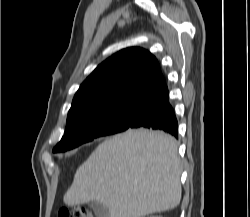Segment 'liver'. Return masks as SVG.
<instances>
[{
    "label": "liver",
    "mask_w": 250,
    "mask_h": 217,
    "mask_svg": "<svg viewBox=\"0 0 250 217\" xmlns=\"http://www.w3.org/2000/svg\"><path fill=\"white\" fill-rule=\"evenodd\" d=\"M181 164L176 140L129 129L102 142L77 169L63 197L68 206L100 202L109 217H143L177 207Z\"/></svg>",
    "instance_id": "1"
}]
</instances>
